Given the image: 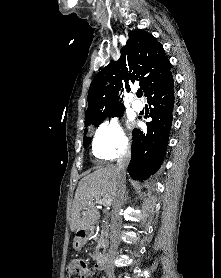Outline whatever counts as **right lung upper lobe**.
Instances as JSON below:
<instances>
[{"label":"right lung upper lobe","mask_w":221,"mask_h":278,"mask_svg":"<svg viewBox=\"0 0 221 278\" xmlns=\"http://www.w3.org/2000/svg\"><path fill=\"white\" fill-rule=\"evenodd\" d=\"M170 69L171 64L162 45L152 34L143 30L129 32V39L121 49L119 60L111 61L105 66L90 85L85 124L124 110V105L118 102L120 88L124 87L129 91L132 83L139 82L146 93Z\"/></svg>","instance_id":"obj_1"}]
</instances>
